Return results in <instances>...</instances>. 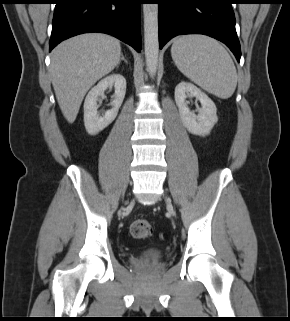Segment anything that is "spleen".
I'll return each mask as SVG.
<instances>
[{
    "instance_id": "obj_1",
    "label": "spleen",
    "mask_w": 290,
    "mask_h": 321,
    "mask_svg": "<svg viewBox=\"0 0 290 321\" xmlns=\"http://www.w3.org/2000/svg\"><path fill=\"white\" fill-rule=\"evenodd\" d=\"M171 55L177 68L205 91L229 98L237 85L235 65L226 49L203 35L177 38Z\"/></svg>"
}]
</instances>
